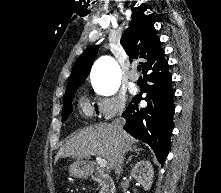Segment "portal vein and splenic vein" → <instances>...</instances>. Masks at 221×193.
Returning a JSON list of instances; mask_svg holds the SVG:
<instances>
[{
  "instance_id": "18ae733b",
  "label": "portal vein and splenic vein",
  "mask_w": 221,
  "mask_h": 193,
  "mask_svg": "<svg viewBox=\"0 0 221 193\" xmlns=\"http://www.w3.org/2000/svg\"><path fill=\"white\" fill-rule=\"evenodd\" d=\"M97 163L100 165V167L105 168L107 166V161L101 157H96Z\"/></svg>"
}]
</instances>
